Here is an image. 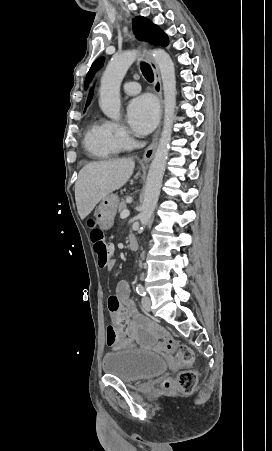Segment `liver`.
<instances>
[{"label": "liver", "instance_id": "liver-1", "mask_svg": "<svg viewBox=\"0 0 272 451\" xmlns=\"http://www.w3.org/2000/svg\"><path fill=\"white\" fill-rule=\"evenodd\" d=\"M134 168L131 158L86 164L75 184V200L81 220L89 216L105 196L122 188L131 178Z\"/></svg>", "mask_w": 272, "mask_h": 451}]
</instances>
